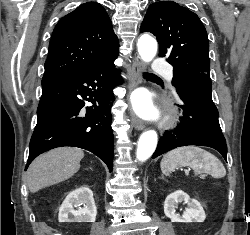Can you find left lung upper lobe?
<instances>
[{"instance_id": "5c2ea615", "label": "left lung upper lobe", "mask_w": 250, "mask_h": 235, "mask_svg": "<svg viewBox=\"0 0 250 235\" xmlns=\"http://www.w3.org/2000/svg\"><path fill=\"white\" fill-rule=\"evenodd\" d=\"M153 33L160 46V57H167L173 67L175 84L190 74H208L210 60L206 29L199 17L173 1L149 6L141 32Z\"/></svg>"}]
</instances>
